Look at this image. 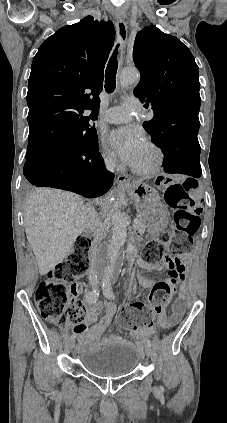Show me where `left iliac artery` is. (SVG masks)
I'll return each instance as SVG.
<instances>
[{
	"instance_id": "44dca946",
	"label": "left iliac artery",
	"mask_w": 227,
	"mask_h": 423,
	"mask_svg": "<svg viewBox=\"0 0 227 423\" xmlns=\"http://www.w3.org/2000/svg\"><path fill=\"white\" fill-rule=\"evenodd\" d=\"M103 294L106 298H109V299L115 298L113 290H112L111 282H104L103 283ZM147 345L152 347V342L150 340H147ZM160 388L163 390L162 386Z\"/></svg>"
}]
</instances>
